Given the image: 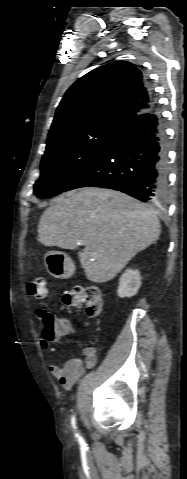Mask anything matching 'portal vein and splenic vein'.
Instances as JSON below:
<instances>
[{"mask_svg":"<svg viewBox=\"0 0 187 479\" xmlns=\"http://www.w3.org/2000/svg\"><path fill=\"white\" fill-rule=\"evenodd\" d=\"M78 244H79V245H81V244H82V242L80 241V242H78Z\"/></svg>","mask_w":187,"mask_h":479,"instance_id":"portal-vein-and-splenic-vein-1","label":"portal vein and splenic vein"}]
</instances>
